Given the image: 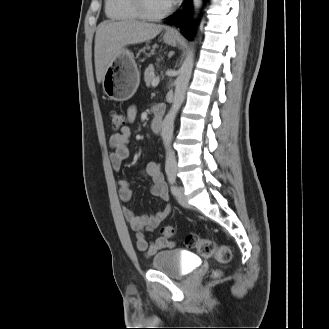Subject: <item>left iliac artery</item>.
Here are the masks:
<instances>
[{
	"mask_svg": "<svg viewBox=\"0 0 329 329\" xmlns=\"http://www.w3.org/2000/svg\"><path fill=\"white\" fill-rule=\"evenodd\" d=\"M167 178L170 185L171 193L176 196L178 194V187L176 185V174L174 172H169L167 174Z\"/></svg>",
	"mask_w": 329,
	"mask_h": 329,
	"instance_id": "1",
	"label": "left iliac artery"
}]
</instances>
